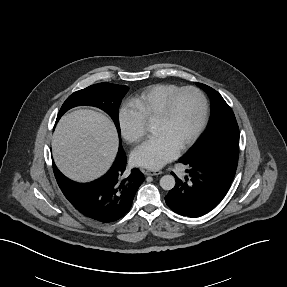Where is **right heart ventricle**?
Instances as JSON below:
<instances>
[{
    "instance_id": "1",
    "label": "right heart ventricle",
    "mask_w": 287,
    "mask_h": 287,
    "mask_svg": "<svg viewBox=\"0 0 287 287\" xmlns=\"http://www.w3.org/2000/svg\"><path fill=\"white\" fill-rule=\"evenodd\" d=\"M180 87L171 83L155 84L145 88L130 100L129 106L134 110L144 124L155 120L161 112L167 98Z\"/></svg>"
}]
</instances>
